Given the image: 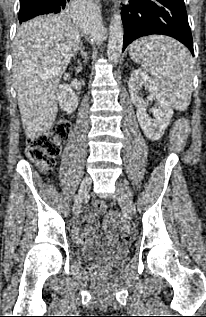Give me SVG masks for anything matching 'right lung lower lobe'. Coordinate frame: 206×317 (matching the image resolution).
I'll use <instances>...</instances> for the list:
<instances>
[{"mask_svg": "<svg viewBox=\"0 0 206 317\" xmlns=\"http://www.w3.org/2000/svg\"><path fill=\"white\" fill-rule=\"evenodd\" d=\"M69 2V0H58V1H55V5L57 7H62V8H65L66 4Z\"/></svg>", "mask_w": 206, "mask_h": 317, "instance_id": "right-lung-lower-lobe-1", "label": "right lung lower lobe"}]
</instances>
